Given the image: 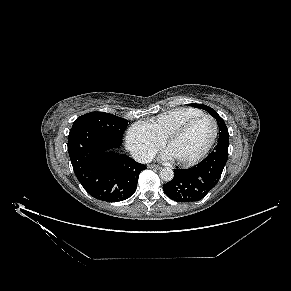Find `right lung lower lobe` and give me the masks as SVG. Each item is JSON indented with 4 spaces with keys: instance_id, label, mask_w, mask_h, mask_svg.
I'll list each match as a JSON object with an SVG mask.
<instances>
[{
    "instance_id": "obj_1",
    "label": "right lung lower lobe",
    "mask_w": 291,
    "mask_h": 291,
    "mask_svg": "<svg viewBox=\"0 0 291 291\" xmlns=\"http://www.w3.org/2000/svg\"><path fill=\"white\" fill-rule=\"evenodd\" d=\"M122 142L94 127L71 129L68 152L74 173L94 198L117 202L136 190L139 174L147 167L125 154L116 153Z\"/></svg>"
}]
</instances>
